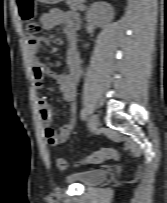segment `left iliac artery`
<instances>
[{
	"instance_id": "left-iliac-artery-1",
	"label": "left iliac artery",
	"mask_w": 167,
	"mask_h": 203,
	"mask_svg": "<svg viewBox=\"0 0 167 203\" xmlns=\"http://www.w3.org/2000/svg\"><path fill=\"white\" fill-rule=\"evenodd\" d=\"M80 116H81V119H82V120H85V118H86V110H85V109H82V110H81Z\"/></svg>"
}]
</instances>
